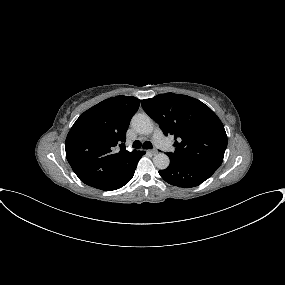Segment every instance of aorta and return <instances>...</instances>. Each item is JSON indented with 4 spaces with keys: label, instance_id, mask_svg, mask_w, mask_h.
<instances>
[{
    "label": "aorta",
    "instance_id": "762f6f07",
    "mask_svg": "<svg viewBox=\"0 0 285 285\" xmlns=\"http://www.w3.org/2000/svg\"><path fill=\"white\" fill-rule=\"evenodd\" d=\"M131 125L137 133L143 135L151 134L154 128L151 118L144 113L135 114L132 117ZM153 163L155 167L163 170L169 166L170 159L166 154L158 153L153 157Z\"/></svg>",
    "mask_w": 285,
    "mask_h": 285
}]
</instances>
